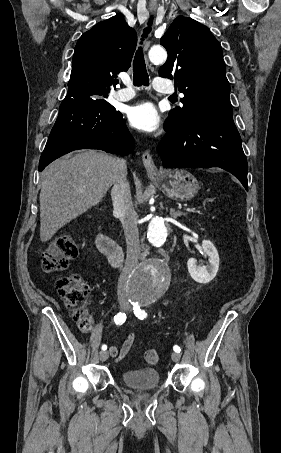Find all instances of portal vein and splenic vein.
Masks as SVG:
<instances>
[{"label": "portal vein and splenic vein", "instance_id": "obj_1", "mask_svg": "<svg viewBox=\"0 0 281 453\" xmlns=\"http://www.w3.org/2000/svg\"><path fill=\"white\" fill-rule=\"evenodd\" d=\"M178 208H179V211H180V212H189V213H190V212H192V213H194V212H196V213H197V212H198V213H199V212H200V213H204V212H205L204 210H200V211L198 210V211H197V210L195 209V207H190V206H189V207H182L181 205H178ZM177 210H178V209H177ZM195 210H196V211H195Z\"/></svg>", "mask_w": 281, "mask_h": 453}]
</instances>
